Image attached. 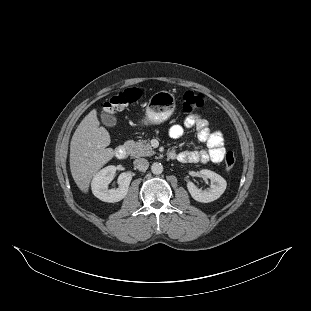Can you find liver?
<instances>
[{"mask_svg": "<svg viewBox=\"0 0 311 311\" xmlns=\"http://www.w3.org/2000/svg\"><path fill=\"white\" fill-rule=\"evenodd\" d=\"M109 133L98 126L96 111L92 110L75 130L70 143V168L73 178L83 191L92 175L112 156Z\"/></svg>", "mask_w": 311, "mask_h": 311, "instance_id": "obj_1", "label": "liver"}]
</instances>
